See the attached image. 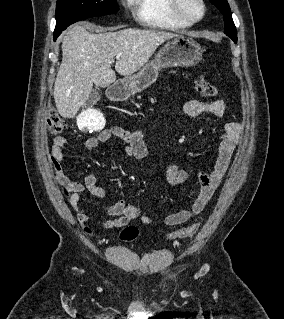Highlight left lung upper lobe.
Returning a JSON list of instances; mask_svg holds the SVG:
<instances>
[{
  "label": "left lung upper lobe",
  "instance_id": "1",
  "mask_svg": "<svg viewBox=\"0 0 284 319\" xmlns=\"http://www.w3.org/2000/svg\"><path fill=\"white\" fill-rule=\"evenodd\" d=\"M212 4H214L220 12L224 15L223 20L225 22L224 32L227 36H229L234 42H237V31L234 25L231 10L228 5L227 0H209Z\"/></svg>",
  "mask_w": 284,
  "mask_h": 319
}]
</instances>
